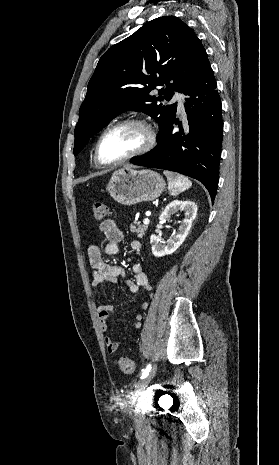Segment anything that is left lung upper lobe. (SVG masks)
<instances>
[{"instance_id":"left-lung-upper-lobe-1","label":"left lung upper lobe","mask_w":279,"mask_h":465,"mask_svg":"<svg viewBox=\"0 0 279 465\" xmlns=\"http://www.w3.org/2000/svg\"><path fill=\"white\" fill-rule=\"evenodd\" d=\"M206 53L194 31L175 16L151 20L113 45L100 58L79 110L74 155L126 110L144 112L160 125L158 141L175 119L177 104L163 105L183 92ZM161 86L159 96L151 94Z\"/></svg>"}]
</instances>
